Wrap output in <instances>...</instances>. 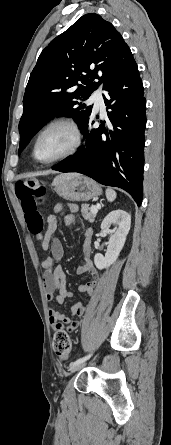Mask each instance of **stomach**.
I'll return each mask as SVG.
<instances>
[{
	"label": "stomach",
	"instance_id": "stomach-1",
	"mask_svg": "<svg viewBox=\"0 0 171 445\" xmlns=\"http://www.w3.org/2000/svg\"><path fill=\"white\" fill-rule=\"evenodd\" d=\"M55 192L69 201H88L101 195L100 186L92 179L82 176H58L53 181Z\"/></svg>",
	"mask_w": 171,
	"mask_h": 445
}]
</instances>
